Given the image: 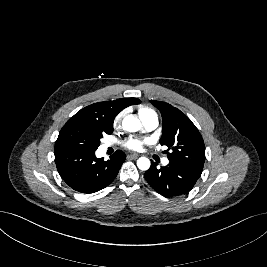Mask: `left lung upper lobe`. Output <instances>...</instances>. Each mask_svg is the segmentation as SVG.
I'll use <instances>...</instances> for the list:
<instances>
[{
  "label": "left lung upper lobe",
  "instance_id": "obj_1",
  "mask_svg": "<svg viewBox=\"0 0 267 267\" xmlns=\"http://www.w3.org/2000/svg\"><path fill=\"white\" fill-rule=\"evenodd\" d=\"M162 115L161 145L168 146V159L203 169L205 162V145L203 138L192 121L172 105L151 100Z\"/></svg>",
  "mask_w": 267,
  "mask_h": 267
}]
</instances>
